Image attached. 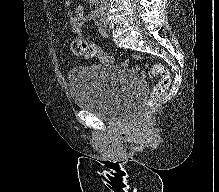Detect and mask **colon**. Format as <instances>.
<instances>
[{
  "label": "colon",
  "instance_id": "colon-1",
  "mask_svg": "<svg viewBox=\"0 0 219 192\" xmlns=\"http://www.w3.org/2000/svg\"><path fill=\"white\" fill-rule=\"evenodd\" d=\"M71 50L74 54L87 58H99L105 62L113 61L112 57L108 53L101 51L94 41H83L77 39L72 43ZM147 75L149 77L159 76L160 79L153 87L145 111L139 119L140 126H145L147 124L149 118L158 106L160 97L167 92L170 86V73L168 69L161 64L153 65L147 72Z\"/></svg>",
  "mask_w": 219,
  "mask_h": 192
}]
</instances>
